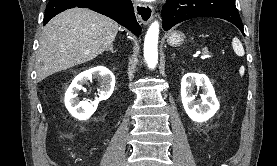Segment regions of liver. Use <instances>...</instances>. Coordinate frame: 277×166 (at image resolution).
I'll use <instances>...</instances> for the list:
<instances>
[{"instance_id": "obj_1", "label": "liver", "mask_w": 277, "mask_h": 166, "mask_svg": "<svg viewBox=\"0 0 277 166\" xmlns=\"http://www.w3.org/2000/svg\"><path fill=\"white\" fill-rule=\"evenodd\" d=\"M118 24L86 8L66 10L43 29L38 50L37 79L93 60L107 50Z\"/></svg>"}]
</instances>
